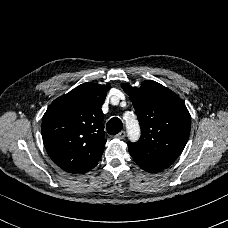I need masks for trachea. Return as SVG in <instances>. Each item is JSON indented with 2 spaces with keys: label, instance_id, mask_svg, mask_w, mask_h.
I'll return each instance as SVG.
<instances>
[{
  "label": "trachea",
  "instance_id": "trachea-1",
  "mask_svg": "<svg viewBox=\"0 0 228 228\" xmlns=\"http://www.w3.org/2000/svg\"><path fill=\"white\" fill-rule=\"evenodd\" d=\"M106 127H107V132L110 135H115L122 130L123 124L118 117H113L108 121Z\"/></svg>",
  "mask_w": 228,
  "mask_h": 228
}]
</instances>
